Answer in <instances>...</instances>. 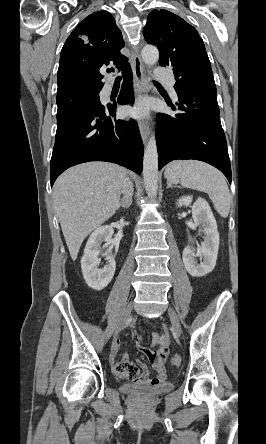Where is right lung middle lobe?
Instances as JSON below:
<instances>
[{
	"instance_id": "1",
	"label": "right lung middle lobe",
	"mask_w": 266,
	"mask_h": 444,
	"mask_svg": "<svg viewBox=\"0 0 266 444\" xmlns=\"http://www.w3.org/2000/svg\"><path fill=\"white\" fill-rule=\"evenodd\" d=\"M99 91L78 92L57 97V126L79 115H89L103 105L99 99Z\"/></svg>"
}]
</instances>
